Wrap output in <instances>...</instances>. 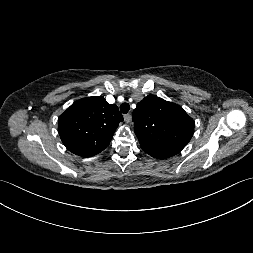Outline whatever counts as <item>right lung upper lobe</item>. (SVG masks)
Segmentation results:
<instances>
[{"label": "right lung upper lobe", "mask_w": 253, "mask_h": 253, "mask_svg": "<svg viewBox=\"0 0 253 253\" xmlns=\"http://www.w3.org/2000/svg\"><path fill=\"white\" fill-rule=\"evenodd\" d=\"M123 116L115 104L101 96L74 102L58 118V132L65 147L81 157L103 151Z\"/></svg>", "instance_id": "cb5924a9"}]
</instances>
